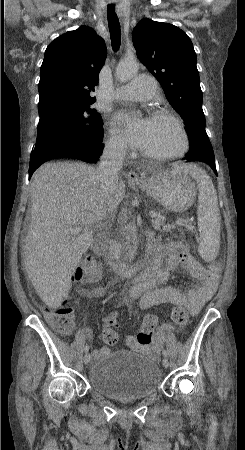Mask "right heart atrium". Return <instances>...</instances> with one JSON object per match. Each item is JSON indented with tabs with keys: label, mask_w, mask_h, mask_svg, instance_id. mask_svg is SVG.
<instances>
[{
	"label": "right heart atrium",
	"mask_w": 245,
	"mask_h": 450,
	"mask_svg": "<svg viewBox=\"0 0 245 450\" xmlns=\"http://www.w3.org/2000/svg\"><path fill=\"white\" fill-rule=\"evenodd\" d=\"M107 147L117 154H121L125 151V143L120 137L116 135H111L109 137L107 141Z\"/></svg>",
	"instance_id": "1"
}]
</instances>
